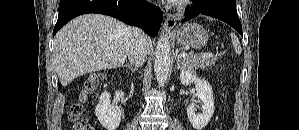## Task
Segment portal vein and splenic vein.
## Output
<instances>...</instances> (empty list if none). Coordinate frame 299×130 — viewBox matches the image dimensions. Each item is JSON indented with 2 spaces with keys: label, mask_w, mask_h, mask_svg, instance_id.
<instances>
[{
  "label": "portal vein and splenic vein",
  "mask_w": 299,
  "mask_h": 130,
  "mask_svg": "<svg viewBox=\"0 0 299 130\" xmlns=\"http://www.w3.org/2000/svg\"><path fill=\"white\" fill-rule=\"evenodd\" d=\"M203 56H206V57H211L212 56V53H204V54H202ZM185 56H187V53H185V52H182L180 55H179V58H183V57H185Z\"/></svg>",
  "instance_id": "obj_1"
}]
</instances>
